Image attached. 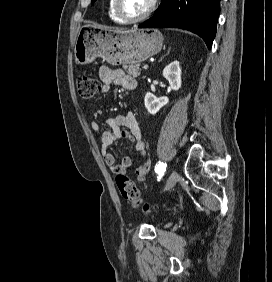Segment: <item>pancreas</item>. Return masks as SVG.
I'll use <instances>...</instances> for the list:
<instances>
[{"mask_svg": "<svg viewBox=\"0 0 272 282\" xmlns=\"http://www.w3.org/2000/svg\"><path fill=\"white\" fill-rule=\"evenodd\" d=\"M128 75L136 78L140 75V67H139V64H131V65H128V66H124L123 67Z\"/></svg>", "mask_w": 272, "mask_h": 282, "instance_id": "1", "label": "pancreas"}]
</instances>
